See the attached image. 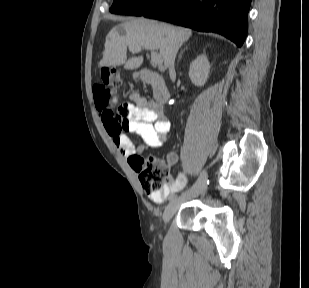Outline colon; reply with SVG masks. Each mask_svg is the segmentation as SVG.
Listing matches in <instances>:
<instances>
[{"label":"colon","mask_w":309,"mask_h":288,"mask_svg":"<svg viewBox=\"0 0 309 288\" xmlns=\"http://www.w3.org/2000/svg\"><path fill=\"white\" fill-rule=\"evenodd\" d=\"M121 84L117 70L103 67L100 71V83L95 86V92L101 116L108 117L117 125L122 126L127 122L128 108L125 104L116 108L112 105V95L120 88ZM133 160L138 165L139 180L147 193H160L168 185L170 178L168 165L161 163L154 156L144 160L136 155Z\"/></svg>","instance_id":"obj_1"}]
</instances>
